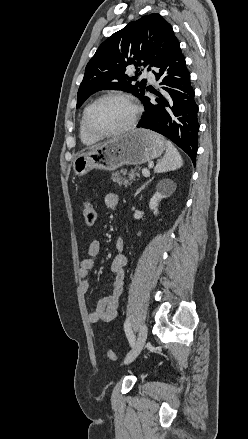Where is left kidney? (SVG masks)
I'll return each mask as SVG.
<instances>
[{"mask_svg": "<svg viewBox=\"0 0 248 439\" xmlns=\"http://www.w3.org/2000/svg\"><path fill=\"white\" fill-rule=\"evenodd\" d=\"M174 191V184L170 180H163L158 183L157 185V191L154 194V196L151 198L149 203V208L153 211L155 215L159 214L158 206L159 202L169 197Z\"/></svg>", "mask_w": 248, "mask_h": 439, "instance_id": "5707ae66", "label": "left kidney"}]
</instances>
